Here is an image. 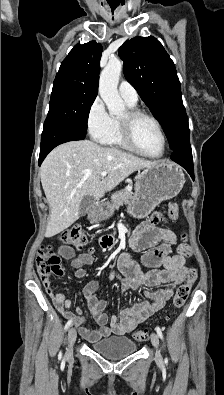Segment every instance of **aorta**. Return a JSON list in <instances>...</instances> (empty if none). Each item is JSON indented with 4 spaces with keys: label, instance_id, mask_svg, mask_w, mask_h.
<instances>
[{
    "label": "aorta",
    "instance_id": "aorta-1",
    "mask_svg": "<svg viewBox=\"0 0 224 395\" xmlns=\"http://www.w3.org/2000/svg\"><path fill=\"white\" fill-rule=\"evenodd\" d=\"M122 66L119 59H110L100 75L99 94L111 116L121 115L125 111V104L117 89Z\"/></svg>",
    "mask_w": 224,
    "mask_h": 395
}]
</instances>
